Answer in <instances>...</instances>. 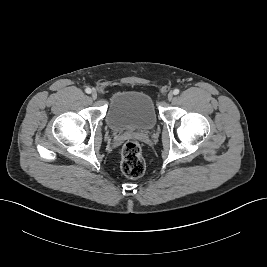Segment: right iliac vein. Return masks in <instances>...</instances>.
Segmentation results:
<instances>
[{"label": "right iliac vein", "instance_id": "63e3f726", "mask_svg": "<svg viewBox=\"0 0 267 267\" xmlns=\"http://www.w3.org/2000/svg\"><path fill=\"white\" fill-rule=\"evenodd\" d=\"M91 96H92L93 99H96L97 98V92H96V90H93L92 91Z\"/></svg>", "mask_w": 267, "mask_h": 267}]
</instances>
